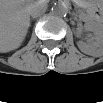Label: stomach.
<instances>
[{
  "mask_svg": "<svg viewBox=\"0 0 103 103\" xmlns=\"http://www.w3.org/2000/svg\"><path fill=\"white\" fill-rule=\"evenodd\" d=\"M79 6L83 7V8H88V9H92L93 4L90 1L87 0H81L78 3Z\"/></svg>",
  "mask_w": 103,
  "mask_h": 103,
  "instance_id": "obj_1",
  "label": "stomach"
}]
</instances>
